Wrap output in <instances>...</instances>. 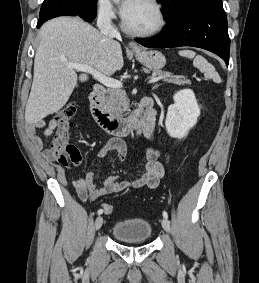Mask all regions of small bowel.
I'll return each instance as SVG.
<instances>
[{
	"label": "small bowel",
	"mask_w": 259,
	"mask_h": 283,
	"mask_svg": "<svg viewBox=\"0 0 259 283\" xmlns=\"http://www.w3.org/2000/svg\"><path fill=\"white\" fill-rule=\"evenodd\" d=\"M154 120L152 123L140 130V132L147 138H153ZM56 129L54 119L48 122L44 120H36L28 123L26 127V134L32 141L34 148L42 151L44 145V138L50 136ZM42 131L41 134L39 131ZM116 151L117 160L123 161L129 154V149L124 141L113 138L108 140L102 148L98 151L99 158H106L110 151ZM46 156V152H45ZM47 157V156H46ZM161 153L158 149L150 147L145 150V167L144 174L141 178L132 181H118L117 175L108 177L102 186H97L95 183V170L88 171L85 175L79 176L73 181V186L82 201L97 200L107 194L117 193L125 190H139L144 186L154 189L161 179L164 177L165 169L160 162ZM75 165H79L75 164ZM47 169L52 171V167Z\"/></svg>",
	"instance_id": "1"
}]
</instances>
